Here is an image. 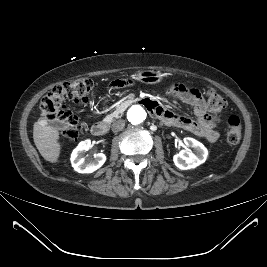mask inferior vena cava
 Returning <instances> with one entry per match:
<instances>
[{
	"instance_id": "obj_1",
	"label": "inferior vena cava",
	"mask_w": 267,
	"mask_h": 267,
	"mask_svg": "<svg viewBox=\"0 0 267 267\" xmlns=\"http://www.w3.org/2000/svg\"><path fill=\"white\" fill-rule=\"evenodd\" d=\"M125 126V121L123 119H119V120H116L113 124H112V131L113 132H118V131H121L123 130Z\"/></svg>"
}]
</instances>
